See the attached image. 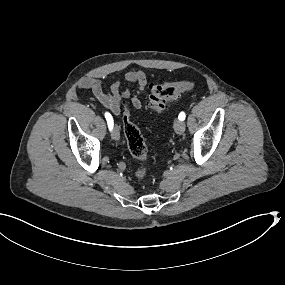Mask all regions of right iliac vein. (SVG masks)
<instances>
[{"mask_svg": "<svg viewBox=\"0 0 285 285\" xmlns=\"http://www.w3.org/2000/svg\"><path fill=\"white\" fill-rule=\"evenodd\" d=\"M112 139L114 140H118L120 138V132H119V128L116 125L111 133Z\"/></svg>", "mask_w": 285, "mask_h": 285, "instance_id": "1", "label": "right iliac vein"}]
</instances>
